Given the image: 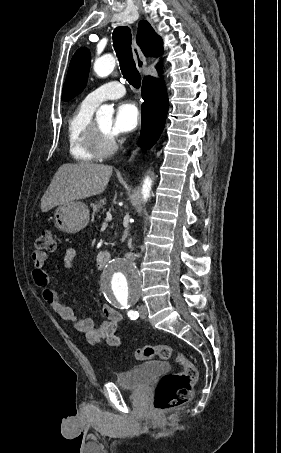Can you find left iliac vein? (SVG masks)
I'll use <instances>...</instances> for the list:
<instances>
[{"label": "left iliac vein", "mask_w": 281, "mask_h": 453, "mask_svg": "<svg viewBox=\"0 0 281 453\" xmlns=\"http://www.w3.org/2000/svg\"><path fill=\"white\" fill-rule=\"evenodd\" d=\"M140 309H141L140 310V315L146 317V313H147L146 312V307H141Z\"/></svg>", "instance_id": "obj_1"}]
</instances>
